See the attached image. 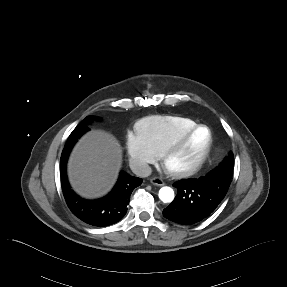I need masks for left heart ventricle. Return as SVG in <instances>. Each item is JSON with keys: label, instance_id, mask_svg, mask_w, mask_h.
Wrapping results in <instances>:
<instances>
[{"label": "left heart ventricle", "instance_id": "obj_1", "mask_svg": "<svg viewBox=\"0 0 287 287\" xmlns=\"http://www.w3.org/2000/svg\"><path fill=\"white\" fill-rule=\"evenodd\" d=\"M209 141L207 129H199L187 142L182 150L169 161L170 168H185L193 165L202 155Z\"/></svg>", "mask_w": 287, "mask_h": 287}]
</instances>
